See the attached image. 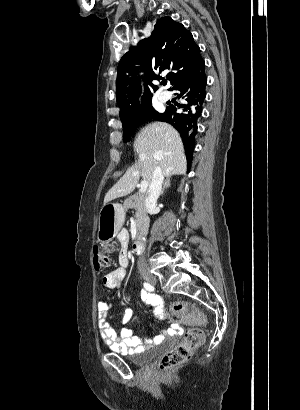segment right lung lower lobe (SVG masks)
<instances>
[{"label":"right lung lower lobe","mask_w":300,"mask_h":410,"mask_svg":"<svg viewBox=\"0 0 300 410\" xmlns=\"http://www.w3.org/2000/svg\"><path fill=\"white\" fill-rule=\"evenodd\" d=\"M206 84L205 62L201 57L172 85L171 90L177 91L175 94L177 98H182L185 102L170 105L164 113L154 117L158 121L168 122L178 130L184 143L185 153L186 148H192L194 151L197 123L206 97ZM186 157L190 165L192 157L191 159L187 155Z\"/></svg>","instance_id":"1"}]
</instances>
